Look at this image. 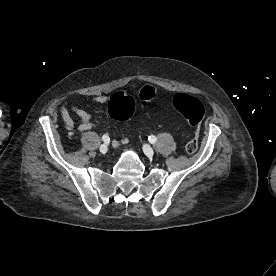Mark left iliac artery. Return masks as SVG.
<instances>
[{"instance_id": "44dca946", "label": "left iliac artery", "mask_w": 276, "mask_h": 276, "mask_svg": "<svg viewBox=\"0 0 276 276\" xmlns=\"http://www.w3.org/2000/svg\"><path fill=\"white\" fill-rule=\"evenodd\" d=\"M148 140L150 141V143H155L157 141V138L153 135L148 137Z\"/></svg>"}]
</instances>
